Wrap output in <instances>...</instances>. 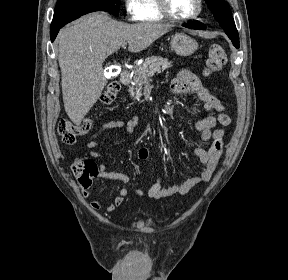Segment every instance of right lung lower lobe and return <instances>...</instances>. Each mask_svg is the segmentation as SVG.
Returning a JSON list of instances; mask_svg holds the SVG:
<instances>
[{
	"instance_id": "98d812e1",
	"label": "right lung lower lobe",
	"mask_w": 288,
	"mask_h": 280,
	"mask_svg": "<svg viewBox=\"0 0 288 280\" xmlns=\"http://www.w3.org/2000/svg\"><path fill=\"white\" fill-rule=\"evenodd\" d=\"M94 11H106V10L101 6L83 5L79 7L70 8L54 16L50 28L51 41L53 42L55 40L60 28L63 27L65 24L75 20L76 18L84 14Z\"/></svg>"
}]
</instances>
